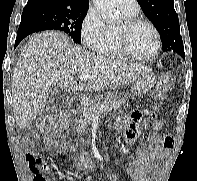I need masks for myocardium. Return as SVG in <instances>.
<instances>
[{
	"mask_svg": "<svg viewBox=\"0 0 197 181\" xmlns=\"http://www.w3.org/2000/svg\"><path fill=\"white\" fill-rule=\"evenodd\" d=\"M122 24V27L116 29V40L120 50L125 54V56L142 62H149L156 59L162 48L160 33L156 26L147 19L138 16L127 17ZM139 25L148 26L153 31L156 38V48L149 56L137 55L132 51L129 44V36L131 31Z\"/></svg>",
	"mask_w": 197,
	"mask_h": 181,
	"instance_id": "1",
	"label": "myocardium"
}]
</instances>
